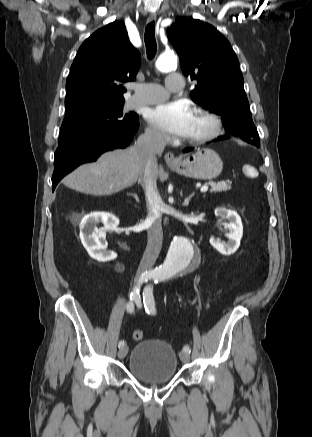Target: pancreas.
I'll return each mask as SVG.
<instances>
[{
	"instance_id": "pancreas-1",
	"label": "pancreas",
	"mask_w": 312,
	"mask_h": 437,
	"mask_svg": "<svg viewBox=\"0 0 312 437\" xmlns=\"http://www.w3.org/2000/svg\"><path fill=\"white\" fill-rule=\"evenodd\" d=\"M211 192H222V191H228L231 189V184L228 182H211Z\"/></svg>"
}]
</instances>
